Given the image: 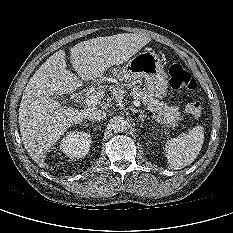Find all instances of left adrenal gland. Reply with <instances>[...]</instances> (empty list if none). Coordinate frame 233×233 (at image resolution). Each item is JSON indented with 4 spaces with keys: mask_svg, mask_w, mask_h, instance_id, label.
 I'll return each mask as SVG.
<instances>
[{
    "mask_svg": "<svg viewBox=\"0 0 233 233\" xmlns=\"http://www.w3.org/2000/svg\"><path fill=\"white\" fill-rule=\"evenodd\" d=\"M134 113H139V120L141 122L144 121V118L146 117V115L144 114V112L142 110H137L136 108H132L131 109Z\"/></svg>",
    "mask_w": 233,
    "mask_h": 233,
    "instance_id": "left-adrenal-gland-1",
    "label": "left adrenal gland"
}]
</instances>
